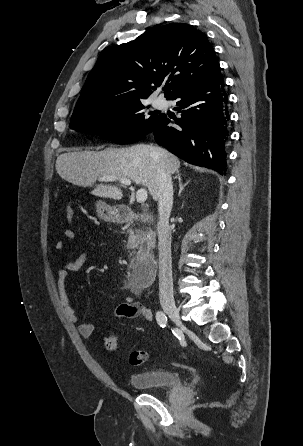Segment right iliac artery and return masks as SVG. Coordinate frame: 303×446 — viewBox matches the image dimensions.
I'll return each instance as SVG.
<instances>
[{"mask_svg":"<svg viewBox=\"0 0 303 446\" xmlns=\"http://www.w3.org/2000/svg\"><path fill=\"white\" fill-rule=\"evenodd\" d=\"M156 320L161 327H165L167 324V316L162 311H157Z\"/></svg>","mask_w":303,"mask_h":446,"instance_id":"obj_1","label":"right iliac artery"}]
</instances>
